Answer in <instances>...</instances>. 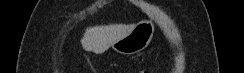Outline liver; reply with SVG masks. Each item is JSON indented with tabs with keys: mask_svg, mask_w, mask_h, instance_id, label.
I'll return each mask as SVG.
<instances>
[{
	"mask_svg": "<svg viewBox=\"0 0 244 73\" xmlns=\"http://www.w3.org/2000/svg\"><path fill=\"white\" fill-rule=\"evenodd\" d=\"M135 27L134 24H115L107 26H95L86 29L81 39L85 51L102 54L117 40L125 37Z\"/></svg>",
	"mask_w": 244,
	"mask_h": 73,
	"instance_id": "6515ba94",
	"label": "liver"
}]
</instances>
